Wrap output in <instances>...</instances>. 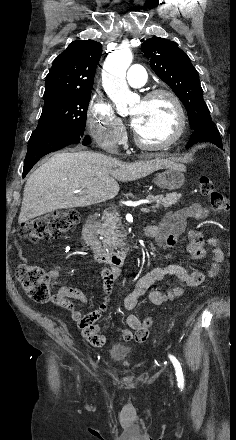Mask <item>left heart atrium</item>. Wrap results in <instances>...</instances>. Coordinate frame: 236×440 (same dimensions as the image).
Returning a JSON list of instances; mask_svg holds the SVG:
<instances>
[{
    "instance_id": "1",
    "label": "left heart atrium",
    "mask_w": 236,
    "mask_h": 440,
    "mask_svg": "<svg viewBox=\"0 0 236 440\" xmlns=\"http://www.w3.org/2000/svg\"><path fill=\"white\" fill-rule=\"evenodd\" d=\"M132 127L135 129L137 123H138V118L136 116L132 117Z\"/></svg>"
}]
</instances>
